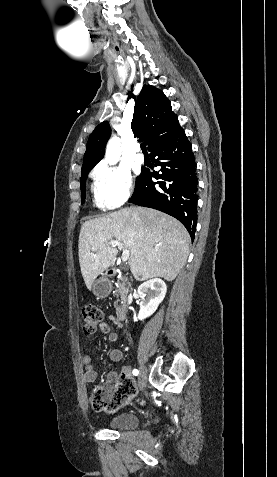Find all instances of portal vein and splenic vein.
<instances>
[{
  "label": "portal vein and splenic vein",
  "mask_w": 277,
  "mask_h": 477,
  "mask_svg": "<svg viewBox=\"0 0 277 477\" xmlns=\"http://www.w3.org/2000/svg\"><path fill=\"white\" fill-rule=\"evenodd\" d=\"M112 247H118L120 249L123 250L122 252V255H121V259L122 261H127L130 257V251L127 250V249H124V246L121 242H119L118 240H111L110 243H109Z\"/></svg>",
  "instance_id": "portal-vein-and-splenic-vein-1"
}]
</instances>
